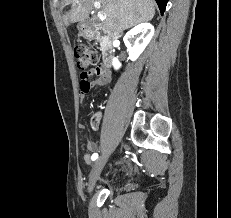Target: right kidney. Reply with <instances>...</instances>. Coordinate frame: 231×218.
<instances>
[{
	"instance_id": "right-kidney-1",
	"label": "right kidney",
	"mask_w": 231,
	"mask_h": 218,
	"mask_svg": "<svg viewBox=\"0 0 231 218\" xmlns=\"http://www.w3.org/2000/svg\"><path fill=\"white\" fill-rule=\"evenodd\" d=\"M154 35V27L150 23H141L131 29L124 37V43L129 52V59L135 61L144 51ZM113 67L118 69L121 63L113 58Z\"/></svg>"
}]
</instances>
